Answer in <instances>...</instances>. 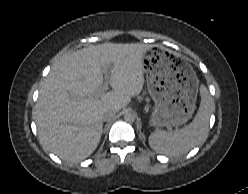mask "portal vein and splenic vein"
I'll return each instance as SVG.
<instances>
[{"mask_svg":"<svg viewBox=\"0 0 248 194\" xmlns=\"http://www.w3.org/2000/svg\"><path fill=\"white\" fill-rule=\"evenodd\" d=\"M103 73L105 74L107 82L103 84V86H101L97 92H95L94 94L95 98L101 97L104 94V92L108 89V82H109L108 66L103 67Z\"/></svg>","mask_w":248,"mask_h":194,"instance_id":"18ae733b","label":"portal vein and splenic vein"}]
</instances>
